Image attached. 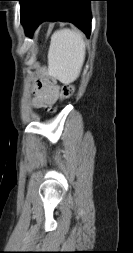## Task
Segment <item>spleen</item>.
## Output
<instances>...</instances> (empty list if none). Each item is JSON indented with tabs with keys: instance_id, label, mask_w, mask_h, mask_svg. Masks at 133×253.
I'll return each mask as SVG.
<instances>
[{
	"instance_id": "1",
	"label": "spleen",
	"mask_w": 133,
	"mask_h": 253,
	"mask_svg": "<svg viewBox=\"0 0 133 253\" xmlns=\"http://www.w3.org/2000/svg\"><path fill=\"white\" fill-rule=\"evenodd\" d=\"M84 59L85 43L81 33L62 29L52 35L48 51L50 76L69 84L79 77Z\"/></svg>"
}]
</instances>
